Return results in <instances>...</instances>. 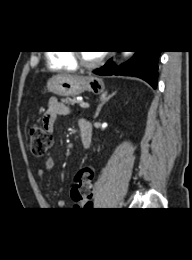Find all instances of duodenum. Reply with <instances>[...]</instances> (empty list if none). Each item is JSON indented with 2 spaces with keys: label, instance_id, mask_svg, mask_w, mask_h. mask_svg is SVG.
Wrapping results in <instances>:
<instances>
[{
  "label": "duodenum",
  "instance_id": "obj_1",
  "mask_svg": "<svg viewBox=\"0 0 192 260\" xmlns=\"http://www.w3.org/2000/svg\"><path fill=\"white\" fill-rule=\"evenodd\" d=\"M79 128L82 145L85 149H87L90 147L92 141V124L89 120L80 119Z\"/></svg>",
  "mask_w": 192,
  "mask_h": 260
}]
</instances>
